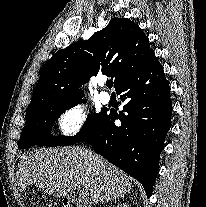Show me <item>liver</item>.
<instances>
[{"mask_svg": "<svg viewBox=\"0 0 206 207\" xmlns=\"http://www.w3.org/2000/svg\"><path fill=\"white\" fill-rule=\"evenodd\" d=\"M16 177L20 190L35 184L56 197L68 196L77 184L88 204L121 198L133 187L122 170L79 146L33 150L21 157Z\"/></svg>", "mask_w": 206, "mask_h": 207, "instance_id": "obj_1", "label": "liver"}]
</instances>
